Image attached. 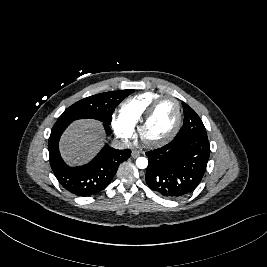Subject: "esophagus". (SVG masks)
<instances>
[{"label": "esophagus", "instance_id": "34e87169", "mask_svg": "<svg viewBox=\"0 0 267 267\" xmlns=\"http://www.w3.org/2000/svg\"><path fill=\"white\" fill-rule=\"evenodd\" d=\"M140 154L141 152L139 150H133L131 156L132 158H137L140 156Z\"/></svg>", "mask_w": 267, "mask_h": 267}]
</instances>
